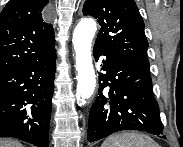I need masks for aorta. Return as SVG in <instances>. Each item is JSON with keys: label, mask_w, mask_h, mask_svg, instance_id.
I'll return each mask as SVG.
<instances>
[{"label": "aorta", "mask_w": 183, "mask_h": 147, "mask_svg": "<svg viewBox=\"0 0 183 147\" xmlns=\"http://www.w3.org/2000/svg\"><path fill=\"white\" fill-rule=\"evenodd\" d=\"M96 30V22L93 19L83 18L73 33L72 42L78 73L76 96L80 99V106L84 105L86 99L92 96L96 86V75L91 56V43Z\"/></svg>", "instance_id": "762f6f07"}]
</instances>
